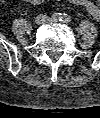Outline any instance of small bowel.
I'll return each instance as SVG.
<instances>
[{"instance_id":"1","label":"small bowel","mask_w":100,"mask_h":118,"mask_svg":"<svg viewBox=\"0 0 100 118\" xmlns=\"http://www.w3.org/2000/svg\"><path fill=\"white\" fill-rule=\"evenodd\" d=\"M24 1L31 4H40L44 0H24ZM55 1H61V0H55ZM67 1L71 4L84 8L96 20L100 19V8L92 0H67Z\"/></svg>"}]
</instances>
